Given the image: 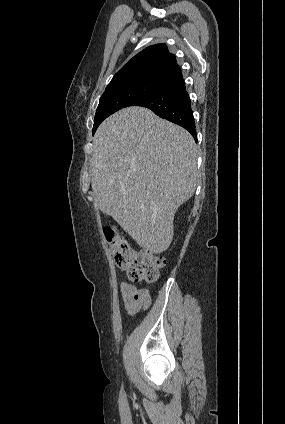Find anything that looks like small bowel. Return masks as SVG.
I'll return each mask as SVG.
<instances>
[{"mask_svg": "<svg viewBox=\"0 0 285 424\" xmlns=\"http://www.w3.org/2000/svg\"><path fill=\"white\" fill-rule=\"evenodd\" d=\"M123 307L129 316H134L140 310H146L151 303L149 293L146 289L137 288L128 282L120 285Z\"/></svg>", "mask_w": 285, "mask_h": 424, "instance_id": "small-bowel-1", "label": "small bowel"}]
</instances>
